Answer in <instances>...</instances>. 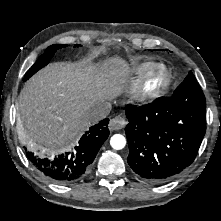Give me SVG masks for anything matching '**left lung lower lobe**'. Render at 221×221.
I'll list each match as a JSON object with an SVG mask.
<instances>
[{"instance_id": "0a47b994", "label": "left lung lower lobe", "mask_w": 221, "mask_h": 221, "mask_svg": "<svg viewBox=\"0 0 221 221\" xmlns=\"http://www.w3.org/2000/svg\"><path fill=\"white\" fill-rule=\"evenodd\" d=\"M125 114L129 156L135 174L150 183L171 180L195 159L205 135L206 103L160 97Z\"/></svg>"}]
</instances>
